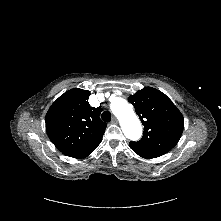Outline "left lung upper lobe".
I'll return each mask as SVG.
<instances>
[{"mask_svg": "<svg viewBox=\"0 0 221 221\" xmlns=\"http://www.w3.org/2000/svg\"><path fill=\"white\" fill-rule=\"evenodd\" d=\"M128 101L144 125L142 139L130 142V148L147 159L169 152L178 143L184 127L183 116L173 102L152 87L130 95Z\"/></svg>", "mask_w": 221, "mask_h": 221, "instance_id": "left-lung-upper-lobe-1", "label": "left lung upper lobe"}]
</instances>
